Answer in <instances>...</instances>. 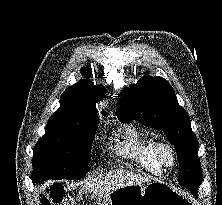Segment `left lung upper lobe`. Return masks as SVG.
Listing matches in <instances>:
<instances>
[{"mask_svg": "<svg viewBox=\"0 0 222 205\" xmlns=\"http://www.w3.org/2000/svg\"><path fill=\"white\" fill-rule=\"evenodd\" d=\"M118 100L117 116L122 122L132 119L142 125L162 130L178 153L179 183L198 190L202 183L199 144L191 129L190 118L176 98L170 84L162 77L145 75L124 89Z\"/></svg>", "mask_w": 222, "mask_h": 205, "instance_id": "5c2ea615", "label": "left lung upper lobe"}]
</instances>
